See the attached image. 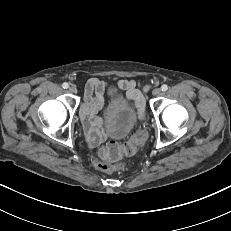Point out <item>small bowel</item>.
Masks as SVG:
<instances>
[{
    "label": "small bowel",
    "instance_id": "c3829d8e",
    "mask_svg": "<svg viewBox=\"0 0 231 231\" xmlns=\"http://www.w3.org/2000/svg\"><path fill=\"white\" fill-rule=\"evenodd\" d=\"M119 89L125 91L126 98L139 113L144 110V90L137 88L134 80L122 79L117 82ZM107 87L105 81L91 78L85 89V99L80 110L81 121L90 147L99 145L105 137L102 120L96 116L103 105V93Z\"/></svg>",
    "mask_w": 231,
    "mask_h": 231
}]
</instances>
